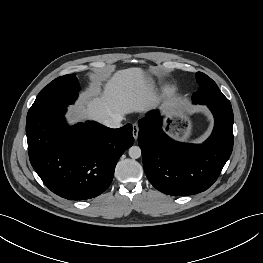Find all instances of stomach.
<instances>
[{
    "label": "stomach",
    "mask_w": 263,
    "mask_h": 263,
    "mask_svg": "<svg viewBox=\"0 0 263 263\" xmlns=\"http://www.w3.org/2000/svg\"><path fill=\"white\" fill-rule=\"evenodd\" d=\"M180 117H181V116H180ZM176 130H177V131L175 132L176 135H179V134L182 132L185 136H188L190 128H188V129H186V130H181L180 128H177Z\"/></svg>",
    "instance_id": "0dacf381"
}]
</instances>
